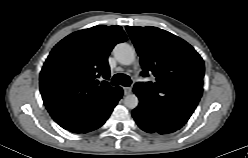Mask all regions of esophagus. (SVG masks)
Masks as SVG:
<instances>
[{"mask_svg":"<svg viewBox=\"0 0 248 158\" xmlns=\"http://www.w3.org/2000/svg\"><path fill=\"white\" fill-rule=\"evenodd\" d=\"M124 95H129L132 92L130 87H123Z\"/></svg>","mask_w":248,"mask_h":158,"instance_id":"obj_1","label":"esophagus"}]
</instances>
